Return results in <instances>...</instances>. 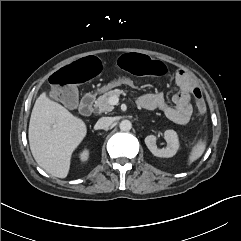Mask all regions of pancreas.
<instances>
[{
    "label": "pancreas",
    "instance_id": "pancreas-1",
    "mask_svg": "<svg viewBox=\"0 0 241 241\" xmlns=\"http://www.w3.org/2000/svg\"><path fill=\"white\" fill-rule=\"evenodd\" d=\"M127 91L121 89H114L105 92L103 95L99 96L95 101L94 107L99 111V113H107L112 111L113 107L109 104V98L112 96L126 95Z\"/></svg>",
    "mask_w": 241,
    "mask_h": 241
}]
</instances>
